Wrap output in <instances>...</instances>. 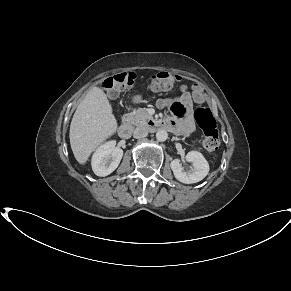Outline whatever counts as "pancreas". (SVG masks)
Instances as JSON below:
<instances>
[{"instance_id": "cf45deb5", "label": "pancreas", "mask_w": 291, "mask_h": 291, "mask_svg": "<svg viewBox=\"0 0 291 291\" xmlns=\"http://www.w3.org/2000/svg\"><path fill=\"white\" fill-rule=\"evenodd\" d=\"M128 118L133 125H142L145 124L151 116L147 113L145 108H139L129 113Z\"/></svg>"}]
</instances>
